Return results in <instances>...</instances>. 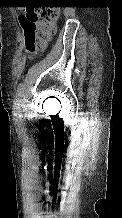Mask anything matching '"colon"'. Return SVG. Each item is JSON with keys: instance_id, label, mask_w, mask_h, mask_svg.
<instances>
[{"instance_id": "colon-1", "label": "colon", "mask_w": 122, "mask_h": 218, "mask_svg": "<svg viewBox=\"0 0 122 218\" xmlns=\"http://www.w3.org/2000/svg\"><path fill=\"white\" fill-rule=\"evenodd\" d=\"M59 12L56 8L27 9L22 16L24 44L29 53L36 52L55 32Z\"/></svg>"}]
</instances>
